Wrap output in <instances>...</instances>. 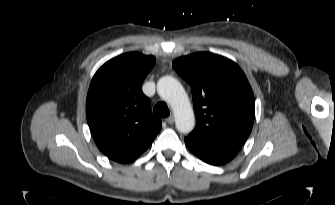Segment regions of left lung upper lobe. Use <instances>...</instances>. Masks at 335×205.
<instances>
[{
  "label": "left lung upper lobe",
  "mask_w": 335,
  "mask_h": 205,
  "mask_svg": "<svg viewBox=\"0 0 335 205\" xmlns=\"http://www.w3.org/2000/svg\"><path fill=\"white\" fill-rule=\"evenodd\" d=\"M172 66L192 89L196 127L188 137L239 150L255 117L254 94L240 67L209 52L177 58Z\"/></svg>",
  "instance_id": "1"
}]
</instances>
